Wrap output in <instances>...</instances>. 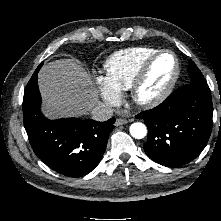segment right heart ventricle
<instances>
[{"label":"right heart ventricle","mask_w":221,"mask_h":221,"mask_svg":"<svg viewBox=\"0 0 221 221\" xmlns=\"http://www.w3.org/2000/svg\"><path fill=\"white\" fill-rule=\"evenodd\" d=\"M156 51L151 47H131L114 52L104 62L107 79L120 92L129 89L142 64Z\"/></svg>","instance_id":"1"}]
</instances>
